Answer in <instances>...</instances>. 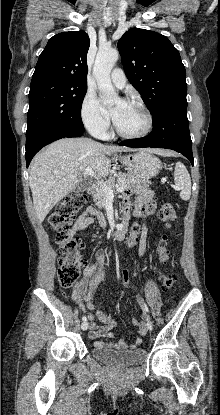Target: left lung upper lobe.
I'll list each match as a JSON object with an SVG mask.
<instances>
[{"label":"left lung upper lobe","instance_id":"5c2ea615","mask_svg":"<svg viewBox=\"0 0 220 415\" xmlns=\"http://www.w3.org/2000/svg\"><path fill=\"white\" fill-rule=\"evenodd\" d=\"M125 74L152 116L186 101V71L178 50L157 32L133 28L118 41Z\"/></svg>","mask_w":220,"mask_h":415}]
</instances>
